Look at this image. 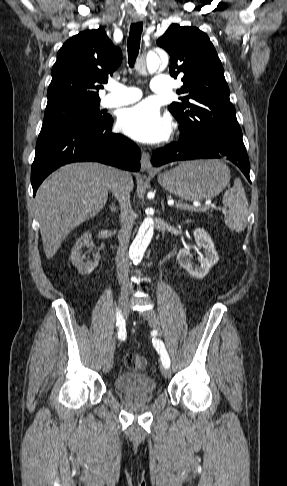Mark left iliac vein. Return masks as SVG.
Returning <instances> with one entry per match:
<instances>
[{"mask_svg":"<svg viewBox=\"0 0 287 486\" xmlns=\"http://www.w3.org/2000/svg\"><path fill=\"white\" fill-rule=\"evenodd\" d=\"M143 317L148 321V323L155 329H159L161 322L160 318L153 309H149L142 312ZM161 374L163 377L168 378L171 376V370L169 368H162Z\"/></svg>","mask_w":287,"mask_h":486,"instance_id":"1","label":"left iliac vein"}]
</instances>
